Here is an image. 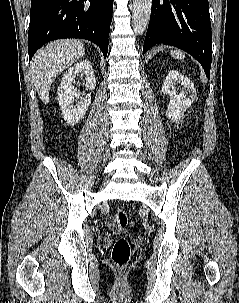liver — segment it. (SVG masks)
Masks as SVG:
<instances>
[{"label": "liver", "mask_w": 239, "mask_h": 303, "mask_svg": "<svg viewBox=\"0 0 239 303\" xmlns=\"http://www.w3.org/2000/svg\"><path fill=\"white\" fill-rule=\"evenodd\" d=\"M85 55L83 42L75 39L53 41L41 48L31 61L34 86L44 104L49 102L54 79Z\"/></svg>", "instance_id": "6515ba94"}]
</instances>
